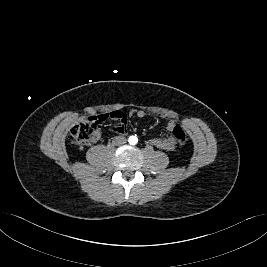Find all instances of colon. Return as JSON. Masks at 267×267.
I'll list each match as a JSON object with an SVG mask.
<instances>
[{
  "instance_id": "5ec220e1",
  "label": "colon",
  "mask_w": 267,
  "mask_h": 267,
  "mask_svg": "<svg viewBox=\"0 0 267 267\" xmlns=\"http://www.w3.org/2000/svg\"><path fill=\"white\" fill-rule=\"evenodd\" d=\"M108 118L107 115H96L84 118L75 124L69 131L68 137L72 144L82 146L96 140L99 136L102 123ZM176 141L184 146L188 143L189 137L186 132L175 125L171 129Z\"/></svg>"
}]
</instances>
